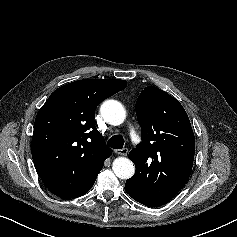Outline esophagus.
Here are the masks:
<instances>
[{"instance_id": "obj_1", "label": "esophagus", "mask_w": 237, "mask_h": 237, "mask_svg": "<svg viewBox=\"0 0 237 237\" xmlns=\"http://www.w3.org/2000/svg\"><path fill=\"white\" fill-rule=\"evenodd\" d=\"M115 153H117L118 155H121V156H126L128 154V149L123 148V149L115 150Z\"/></svg>"}]
</instances>
